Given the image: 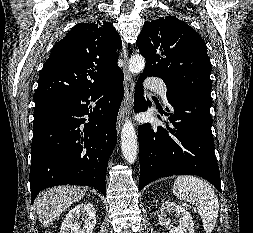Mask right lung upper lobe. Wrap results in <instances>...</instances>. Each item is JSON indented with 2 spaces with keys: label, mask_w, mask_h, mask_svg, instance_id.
<instances>
[{
  "label": "right lung upper lobe",
  "mask_w": 253,
  "mask_h": 233,
  "mask_svg": "<svg viewBox=\"0 0 253 233\" xmlns=\"http://www.w3.org/2000/svg\"><path fill=\"white\" fill-rule=\"evenodd\" d=\"M122 42L106 21L75 25L51 49L38 79L34 101L54 95L79 94L110 82L122 70L117 50Z\"/></svg>",
  "instance_id": "1"
}]
</instances>
